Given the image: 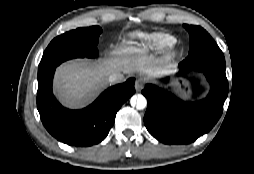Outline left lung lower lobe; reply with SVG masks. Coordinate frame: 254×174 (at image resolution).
<instances>
[{"label":"left lung lower lobe","mask_w":254,"mask_h":174,"mask_svg":"<svg viewBox=\"0 0 254 174\" xmlns=\"http://www.w3.org/2000/svg\"><path fill=\"white\" fill-rule=\"evenodd\" d=\"M225 65L213 62L179 64V76L190 71L203 73L211 89L197 102H185L155 85L147 84L142 94L148 106L144 124L149 133L165 144H188L209 132L219 120L228 95Z\"/></svg>","instance_id":"obj_1"}]
</instances>
